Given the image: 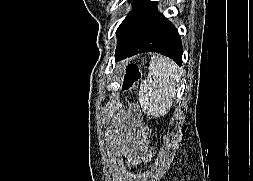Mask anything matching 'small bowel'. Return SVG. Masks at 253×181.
I'll list each match as a JSON object with an SVG mask.
<instances>
[{"instance_id": "obj_1", "label": "small bowel", "mask_w": 253, "mask_h": 181, "mask_svg": "<svg viewBox=\"0 0 253 181\" xmlns=\"http://www.w3.org/2000/svg\"><path fill=\"white\" fill-rule=\"evenodd\" d=\"M129 150L131 152L129 160L131 164H136L140 161H148L151 155L150 149L146 146V144L137 139L131 141Z\"/></svg>"}]
</instances>
